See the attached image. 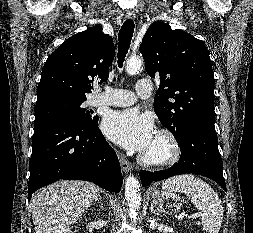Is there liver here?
Masks as SVG:
<instances>
[{"label":"liver","instance_id":"1","mask_svg":"<svg viewBox=\"0 0 253 233\" xmlns=\"http://www.w3.org/2000/svg\"><path fill=\"white\" fill-rule=\"evenodd\" d=\"M100 196L86 181H58L33 195L30 203L35 233H71V228Z\"/></svg>","mask_w":253,"mask_h":233}]
</instances>
